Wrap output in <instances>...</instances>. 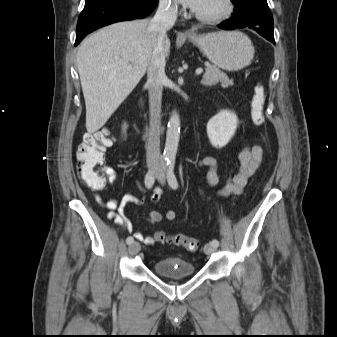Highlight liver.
Instances as JSON below:
<instances>
[{
	"label": "liver",
	"mask_w": 337,
	"mask_h": 337,
	"mask_svg": "<svg viewBox=\"0 0 337 337\" xmlns=\"http://www.w3.org/2000/svg\"><path fill=\"white\" fill-rule=\"evenodd\" d=\"M148 19L109 25L82 41L77 67L86 105V129L102 128L133 91L153 56L158 32L149 29ZM164 55L170 52L167 36ZM128 65H132L130 70Z\"/></svg>",
	"instance_id": "obj_1"
}]
</instances>
